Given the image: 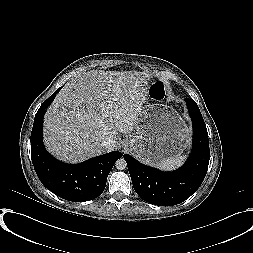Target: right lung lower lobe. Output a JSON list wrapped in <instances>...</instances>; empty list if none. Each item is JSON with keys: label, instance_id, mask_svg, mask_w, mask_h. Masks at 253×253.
<instances>
[{"label": "right lung lower lobe", "instance_id": "obj_1", "mask_svg": "<svg viewBox=\"0 0 253 253\" xmlns=\"http://www.w3.org/2000/svg\"><path fill=\"white\" fill-rule=\"evenodd\" d=\"M57 89L39 108L31 133V157L42 184L57 196L74 202L92 200L105 189L107 177L122 153L114 151L81 164H66L51 156L42 141L43 117L56 97Z\"/></svg>", "mask_w": 253, "mask_h": 253}]
</instances>
